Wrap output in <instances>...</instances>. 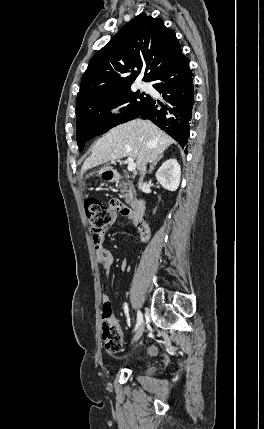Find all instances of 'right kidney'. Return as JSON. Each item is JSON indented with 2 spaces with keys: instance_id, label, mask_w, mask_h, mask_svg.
<instances>
[{
  "instance_id": "1",
  "label": "right kidney",
  "mask_w": 264,
  "mask_h": 429,
  "mask_svg": "<svg viewBox=\"0 0 264 429\" xmlns=\"http://www.w3.org/2000/svg\"><path fill=\"white\" fill-rule=\"evenodd\" d=\"M155 176L163 188L176 191L180 184V165L175 158H170L160 166Z\"/></svg>"
}]
</instances>
